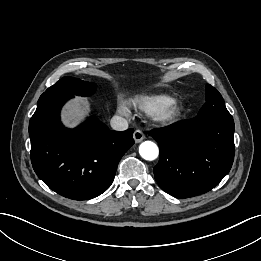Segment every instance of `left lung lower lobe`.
<instances>
[{"instance_id": "left-lung-lower-lobe-1", "label": "left lung lower lobe", "mask_w": 261, "mask_h": 261, "mask_svg": "<svg viewBox=\"0 0 261 261\" xmlns=\"http://www.w3.org/2000/svg\"><path fill=\"white\" fill-rule=\"evenodd\" d=\"M160 159L155 180L167 193L189 198L214 188L230 171L234 160L233 118H199L154 129Z\"/></svg>"}]
</instances>
